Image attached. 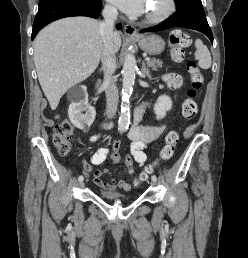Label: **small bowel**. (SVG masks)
<instances>
[{"mask_svg":"<svg viewBox=\"0 0 248 258\" xmlns=\"http://www.w3.org/2000/svg\"><path fill=\"white\" fill-rule=\"evenodd\" d=\"M170 77L178 80L179 82L181 80L177 75H171ZM146 107L147 104H142L137 109L135 123L128 132V138L131 140L130 153L134 154V161L139 166H143L147 161L145 149L153 140L158 138L164 130V125L149 127L139 124L141 114ZM98 138L99 136L95 135L92 136L91 140L96 141ZM108 152L109 150L104 147L92 152L91 164L85 163L84 168L86 170L93 171V180L98 187L104 190H114L116 188H120L124 191H130L135 187L133 184L124 180L112 181L111 183L105 182L101 179L103 172L99 169L93 168V166L100 165L106 160Z\"/></svg>","mask_w":248,"mask_h":258,"instance_id":"small-bowel-1","label":"small bowel"}]
</instances>
